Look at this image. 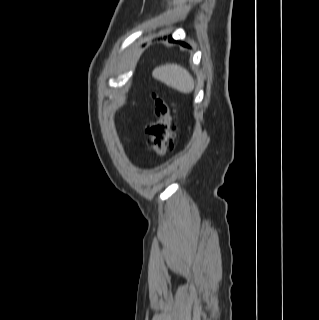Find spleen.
Returning <instances> with one entry per match:
<instances>
[{
  "instance_id": "1",
  "label": "spleen",
  "mask_w": 319,
  "mask_h": 320,
  "mask_svg": "<svg viewBox=\"0 0 319 320\" xmlns=\"http://www.w3.org/2000/svg\"><path fill=\"white\" fill-rule=\"evenodd\" d=\"M152 76L167 86L182 93H191L194 90L195 82L190 73L177 64H165L156 67Z\"/></svg>"
}]
</instances>
